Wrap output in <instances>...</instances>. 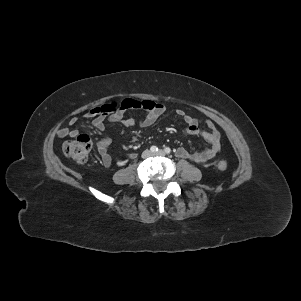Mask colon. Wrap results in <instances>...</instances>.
<instances>
[{"label": "colon", "mask_w": 301, "mask_h": 301, "mask_svg": "<svg viewBox=\"0 0 301 301\" xmlns=\"http://www.w3.org/2000/svg\"><path fill=\"white\" fill-rule=\"evenodd\" d=\"M119 108L117 103H110L101 106L100 111L102 112H113ZM92 148V141L88 135L81 134L78 135L75 139L66 141L63 144L64 154L76 161L77 163H85L90 155ZM217 168L221 171H225L228 168V164L225 161H219L217 163Z\"/></svg>", "instance_id": "colon-1"}]
</instances>
